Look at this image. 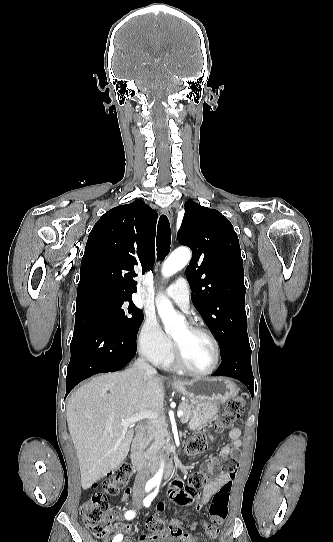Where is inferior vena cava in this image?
I'll use <instances>...</instances> for the list:
<instances>
[{
  "instance_id": "1",
  "label": "inferior vena cava",
  "mask_w": 333,
  "mask_h": 542,
  "mask_svg": "<svg viewBox=\"0 0 333 542\" xmlns=\"http://www.w3.org/2000/svg\"><path fill=\"white\" fill-rule=\"evenodd\" d=\"M133 368L141 370V372H144L145 376H156L157 374L155 368L149 366L143 356L142 358H138V360H136L135 364H133ZM149 478L150 472L148 466H144V468H140V470H137V476L135 478L133 488L134 492H143L144 486L146 482H148Z\"/></svg>"
}]
</instances>
